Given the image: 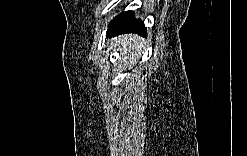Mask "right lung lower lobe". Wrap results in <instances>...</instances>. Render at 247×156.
I'll list each match as a JSON object with an SVG mask.
<instances>
[{
	"mask_svg": "<svg viewBox=\"0 0 247 156\" xmlns=\"http://www.w3.org/2000/svg\"><path fill=\"white\" fill-rule=\"evenodd\" d=\"M123 33H138L146 36L144 23L135 19L133 11H125L116 16L108 27L107 36L112 37Z\"/></svg>",
	"mask_w": 247,
	"mask_h": 156,
	"instance_id": "1",
	"label": "right lung lower lobe"
}]
</instances>
